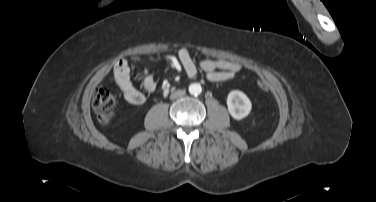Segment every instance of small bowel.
<instances>
[{
  "instance_id": "obj_1",
  "label": "small bowel",
  "mask_w": 376,
  "mask_h": 202,
  "mask_svg": "<svg viewBox=\"0 0 376 202\" xmlns=\"http://www.w3.org/2000/svg\"><path fill=\"white\" fill-rule=\"evenodd\" d=\"M177 60L189 77H195L198 68L188 48H181L175 59ZM200 68L205 72L206 79L211 82H223L232 79L240 72L241 65L236 61L226 59H203ZM115 83L122 91L125 101L131 105H141L145 101L144 93L136 88L131 81V69L124 59L117 61L113 67ZM142 86L145 91L151 92L156 85L151 75L145 74L142 77Z\"/></svg>"
}]
</instances>
